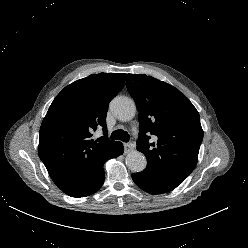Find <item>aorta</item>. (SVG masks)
Wrapping results in <instances>:
<instances>
[{"label":"aorta","mask_w":248,"mask_h":248,"mask_svg":"<svg viewBox=\"0 0 248 248\" xmlns=\"http://www.w3.org/2000/svg\"><path fill=\"white\" fill-rule=\"evenodd\" d=\"M110 108L114 116L120 121H130L136 114L135 102L126 96H118L111 101ZM127 167L132 172H141L147 165L146 157L143 153L133 150L125 158Z\"/></svg>","instance_id":"762f6f07"}]
</instances>
